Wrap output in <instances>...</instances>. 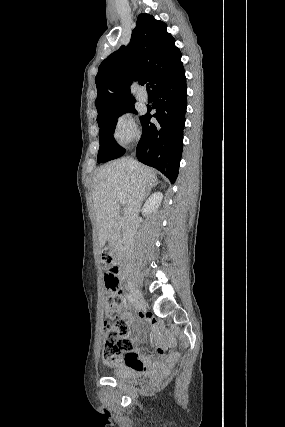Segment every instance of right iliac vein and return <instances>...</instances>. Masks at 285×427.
<instances>
[{
	"label": "right iliac vein",
	"instance_id": "1",
	"mask_svg": "<svg viewBox=\"0 0 285 427\" xmlns=\"http://www.w3.org/2000/svg\"><path fill=\"white\" fill-rule=\"evenodd\" d=\"M128 285H129V289H130V291H131V293H132V295H133V298H134V300H135L136 308H137L138 310H143V309H145L146 304H145L144 297H143V295L141 294V292H140L138 289H136V288L132 285V283H131V282H129V283H128Z\"/></svg>",
	"mask_w": 285,
	"mask_h": 427
}]
</instances>
